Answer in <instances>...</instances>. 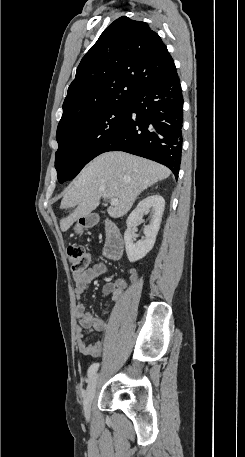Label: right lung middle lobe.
<instances>
[{
    "label": "right lung middle lobe",
    "mask_w": 245,
    "mask_h": 457,
    "mask_svg": "<svg viewBox=\"0 0 245 457\" xmlns=\"http://www.w3.org/2000/svg\"><path fill=\"white\" fill-rule=\"evenodd\" d=\"M129 107L130 100L114 101L58 126L55 168L60 183L75 178L85 164L105 152Z\"/></svg>",
    "instance_id": "obj_1"
}]
</instances>
